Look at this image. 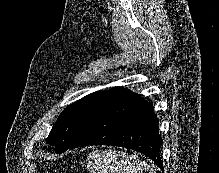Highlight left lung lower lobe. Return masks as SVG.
I'll list each match as a JSON object with an SVG mask.
<instances>
[{"label":"left lung lower lobe","instance_id":"1","mask_svg":"<svg viewBox=\"0 0 219 173\" xmlns=\"http://www.w3.org/2000/svg\"><path fill=\"white\" fill-rule=\"evenodd\" d=\"M113 145L143 153L163 170L160 159L161 136L152 102L123 89L107 102L69 148Z\"/></svg>","mask_w":219,"mask_h":173}]
</instances>
